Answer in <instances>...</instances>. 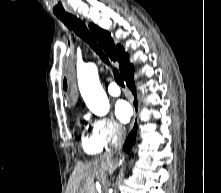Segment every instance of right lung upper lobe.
Listing matches in <instances>:
<instances>
[{
  "label": "right lung upper lobe",
  "mask_w": 221,
  "mask_h": 193,
  "mask_svg": "<svg viewBox=\"0 0 221 193\" xmlns=\"http://www.w3.org/2000/svg\"><path fill=\"white\" fill-rule=\"evenodd\" d=\"M89 28L111 60H117L120 63L119 69L123 77L133 68L132 65L128 64L127 53H125L124 49L120 45H114L113 39L107 31L94 24H89Z\"/></svg>",
  "instance_id": "cb5924a9"
}]
</instances>
